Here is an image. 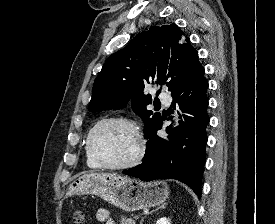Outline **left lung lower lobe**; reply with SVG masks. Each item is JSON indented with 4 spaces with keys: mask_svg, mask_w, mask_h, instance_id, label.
<instances>
[{
    "mask_svg": "<svg viewBox=\"0 0 275 224\" xmlns=\"http://www.w3.org/2000/svg\"><path fill=\"white\" fill-rule=\"evenodd\" d=\"M204 67L174 90L171 95L183 112L179 126L167 139L157 135L162 120L144 137L147 139L145 160L130 168L124 174L145 181L156 179H177L191 187L201 196L202 174L206 162V127L208 82L204 78Z\"/></svg>",
    "mask_w": 275,
    "mask_h": 224,
    "instance_id": "1",
    "label": "left lung lower lobe"
}]
</instances>
